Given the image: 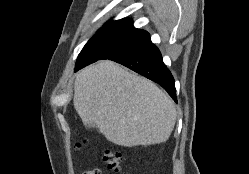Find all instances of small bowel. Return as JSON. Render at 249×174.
Segmentation results:
<instances>
[{"instance_id": "c3829d8e", "label": "small bowel", "mask_w": 249, "mask_h": 174, "mask_svg": "<svg viewBox=\"0 0 249 174\" xmlns=\"http://www.w3.org/2000/svg\"><path fill=\"white\" fill-rule=\"evenodd\" d=\"M83 174H102L100 169H93L87 172H84Z\"/></svg>"}]
</instances>
